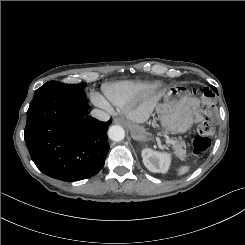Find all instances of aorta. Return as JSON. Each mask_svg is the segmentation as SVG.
Returning a JSON list of instances; mask_svg holds the SVG:
<instances>
[{
  "label": "aorta",
  "mask_w": 245,
  "mask_h": 245,
  "mask_svg": "<svg viewBox=\"0 0 245 245\" xmlns=\"http://www.w3.org/2000/svg\"><path fill=\"white\" fill-rule=\"evenodd\" d=\"M108 136L111 140L118 142L124 139L125 131L123 127L119 125H113L108 130Z\"/></svg>",
  "instance_id": "1"
}]
</instances>
